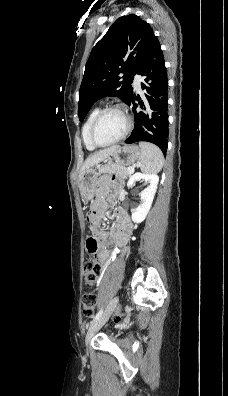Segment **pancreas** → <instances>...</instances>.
Masks as SVG:
<instances>
[{
    "instance_id": "cf45deb5",
    "label": "pancreas",
    "mask_w": 228,
    "mask_h": 396,
    "mask_svg": "<svg viewBox=\"0 0 228 396\" xmlns=\"http://www.w3.org/2000/svg\"><path fill=\"white\" fill-rule=\"evenodd\" d=\"M101 173L104 174H116L124 179H126L127 177H129L131 175V173L129 172V168H127L126 166H122L119 164H114V163H110L106 166H104L101 169Z\"/></svg>"
}]
</instances>
